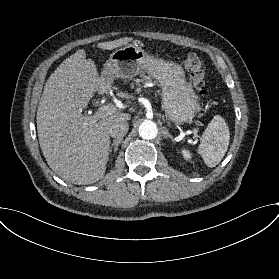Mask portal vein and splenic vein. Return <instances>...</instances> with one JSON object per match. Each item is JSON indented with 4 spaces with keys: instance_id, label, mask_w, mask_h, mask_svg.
Instances as JSON below:
<instances>
[{
    "instance_id": "portal-vein-and-splenic-vein-1",
    "label": "portal vein and splenic vein",
    "mask_w": 279,
    "mask_h": 279,
    "mask_svg": "<svg viewBox=\"0 0 279 279\" xmlns=\"http://www.w3.org/2000/svg\"><path fill=\"white\" fill-rule=\"evenodd\" d=\"M116 107L123 109L125 106L123 104L121 105H104L102 107L99 108L97 115L98 117H103L104 115L107 114H112L114 112H116ZM185 136V134L183 135V137Z\"/></svg>"
}]
</instances>
